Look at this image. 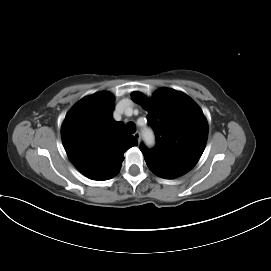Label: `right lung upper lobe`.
Instances as JSON below:
<instances>
[{
    "label": "right lung upper lobe",
    "mask_w": 271,
    "mask_h": 271,
    "mask_svg": "<svg viewBox=\"0 0 271 271\" xmlns=\"http://www.w3.org/2000/svg\"><path fill=\"white\" fill-rule=\"evenodd\" d=\"M114 97L110 92L87 96L66 115L61 135L72 164L92 180H108L120 170L123 154L137 145L112 118Z\"/></svg>",
    "instance_id": "right-lung-upper-lobe-1"
}]
</instances>
